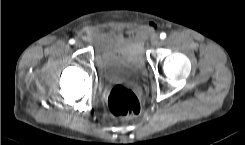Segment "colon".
Wrapping results in <instances>:
<instances>
[{
	"label": "colon",
	"instance_id": "1",
	"mask_svg": "<svg viewBox=\"0 0 245 145\" xmlns=\"http://www.w3.org/2000/svg\"><path fill=\"white\" fill-rule=\"evenodd\" d=\"M108 107L115 116L133 117L140 112L141 104L132 90L116 84L109 92Z\"/></svg>",
	"mask_w": 245,
	"mask_h": 145
}]
</instances>
